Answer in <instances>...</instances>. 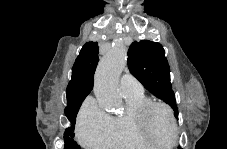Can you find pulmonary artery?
I'll use <instances>...</instances> for the list:
<instances>
[{"instance_id":"obj_1","label":"pulmonary artery","mask_w":227,"mask_h":149,"mask_svg":"<svg viewBox=\"0 0 227 149\" xmlns=\"http://www.w3.org/2000/svg\"><path fill=\"white\" fill-rule=\"evenodd\" d=\"M120 88L123 95L143 92L141 83L131 75L124 74L120 79Z\"/></svg>"}]
</instances>
